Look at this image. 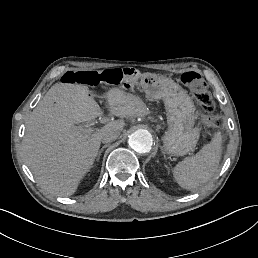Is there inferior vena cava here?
<instances>
[{
    "mask_svg": "<svg viewBox=\"0 0 258 258\" xmlns=\"http://www.w3.org/2000/svg\"><path fill=\"white\" fill-rule=\"evenodd\" d=\"M120 135V131L115 128H107L102 130L100 140L103 143H109L116 140Z\"/></svg>",
    "mask_w": 258,
    "mask_h": 258,
    "instance_id": "inferior-vena-cava-1",
    "label": "inferior vena cava"
}]
</instances>
